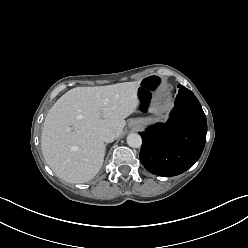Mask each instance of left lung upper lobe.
<instances>
[{"label":"left lung upper lobe","mask_w":248,"mask_h":248,"mask_svg":"<svg viewBox=\"0 0 248 248\" xmlns=\"http://www.w3.org/2000/svg\"><path fill=\"white\" fill-rule=\"evenodd\" d=\"M178 88H184V86H182V85L179 84V85H178Z\"/></svg>","instance_id":"obj_1"}]
</instances>
